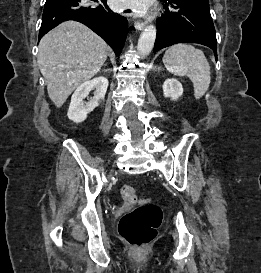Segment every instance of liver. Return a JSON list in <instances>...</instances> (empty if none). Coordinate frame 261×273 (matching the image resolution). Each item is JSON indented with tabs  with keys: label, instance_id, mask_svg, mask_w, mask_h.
Returning <instances> with one entry per match:
<instances>
[{
	"label": "liver",
	"instance_id": "liver-1",
	"mask_svg": "<svg viewBox=\"0 0 261 273\" xmlns=\"http://www.w3.org/2000/svg\"><path fill=\"white\" fill-rule=\"evenodd\" d=\"M110 48L85 25L66 21L39 43L38 62L51 101L61 107L69 95L101 69Z\"/></svg>",
	"mask_w": 261,
	"mask_h": 273
}]
</instances>
